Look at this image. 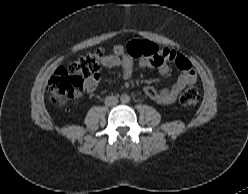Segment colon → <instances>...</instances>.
Instances as JSON below:
<instances>
[{
  "label": "colon",
  "mask_w": 248,
  "mask_h": 194,
  "mask_svg": "<svg viewBox=\"0 0 248 194\" xmlns=\"http://www.w3.org/2000/svg\"><path fill=\"white\" fill-rule=\"evenodd\" d=\"M129 54L133 57L156 56L160 53L158 47L150 41H131L127 45ZM182 60V56L172 52L163 61ZM103 51L97 49L80 56L67 66L58 68L51 76L48 83V92L52 102L57 106H64L69 101L79 96L84 88V81L89 77L97 76L103 65ZM199 91L195 86L187 87L180 95L179 102L185 108L195 106L199 101Z\"/></svg>",
  "instance_id": "5ec220e1"
}]
</instances>
